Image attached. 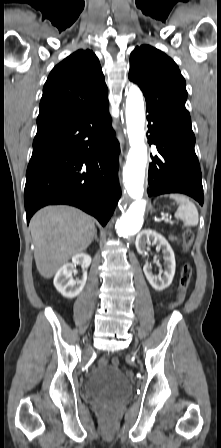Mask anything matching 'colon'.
Returning <instances> with one entry per match:
<instances>
[{
	"instance_id": "1",
	"label": "colon",
	"mask_w": 221,
	"mask_h": 448,
	"mask_svg": "<svg viewBox=\"0 0 221 448\" xmlns=\"http://www.w3.org/2000/svg\"><path fill=\"white\" fill-rule=\"evenodd\" d=\"M182 241H183L184 249L188 250V248L190 247V245L193 241V232L191 230H187L183 234ZM191 276H192V267L190 264H185L181 270V278L179 281V286H178V288L174 294L173 300L171 302V308H176L181 304L182 299H183V294L190 284ZM98 363H99V365L104 366L107 364V359L101 358ZM119 363H120V361L118 358L112 359V364L114 366H118ZM126 375H127V377H131L132 372L126 371ZM108 417H110V415H108Z\"/></svg>"
}]
</instances>
